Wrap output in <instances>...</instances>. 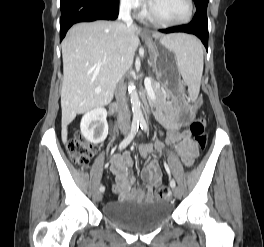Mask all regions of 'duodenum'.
<instances>
[{"instance_id": "410a0bca", "label": "duodenum", "mask_w": 264, "mask_h": 247, "mask_svg": "<svg viewBox=\"0 0 264 247\" xmlns=\"http://www.w3.org/2000/svg\"><path fill=\"white\" fill-rule=\"evenodd\" d=\"M112 110H115V106L112 107Z\"/></svg>"}]
</instances>
